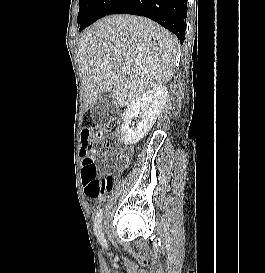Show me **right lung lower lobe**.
<instances>
[{
  "label": "right lung lower lobe",
  "instance_id": "98d812e1",
  "mask_svg": "<svg viewBox=\"0 0 265 273\" xmlns=\"http://www.w3.org/2000/svg\"><path fill=\"white\" fill-rule=\"evenodd\" d=\"M120 13L148 17L184 42L187 0H116L106 15Z\"/></svg>",
  "mask_w": 265,
  "mask_h": 273
}]
</instances>
